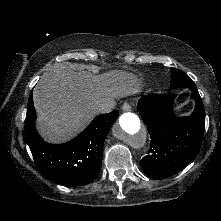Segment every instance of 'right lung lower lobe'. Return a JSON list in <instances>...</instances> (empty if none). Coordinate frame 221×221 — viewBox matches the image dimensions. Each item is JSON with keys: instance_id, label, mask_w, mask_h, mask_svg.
<instances>
[{"instance_id": "1", "label": "right lung lower lobe", "mask_w": 221, "mask_h": 221, "mask_svg": "<svg viewBox=\"0 0 221 221\" xmlns=\"http://www.w3.org/2000/svg\"><path fill=\"white\" fill-rule=\"evenodd\" d=\"M119 115L118 110L97 116L73 140L49 144L35 128L32 92L25 119L26 140L40 170L50 179L66 186H81L92 182L99 174L106 135Z\"/></svg>"}]
</instances>
